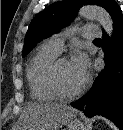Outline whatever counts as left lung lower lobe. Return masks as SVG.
Masks as SVG:
<instances>
[{
    "instance_id": "1",
    "label": "left lung lower lobe",
    "mask_w": 123,
    "mask_h": 130,
    "mask_svg": "<svg viewBox=\"0 0 123 130\" xmlns=\"http://www.w3.org/2000/svg\"><path fill=\"white\" fill-rule=\"evenodd\" d=\"M112 38L103 35L105 69L85 96L71 103L87 117L104 116L123 130V14L119 8L113 17Z\"/></svg>"
}]
</instances>
